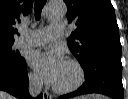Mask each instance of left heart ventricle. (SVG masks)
<instances>
[{"label":"left heart ventricle","instance_id":"left-heart-ventricle-1","mask_svg":"<svg viewBox=\"0 0 128 99\" xmlns=\"http://www.w3.org/2000/svg\"><path fill=\"white\" fill-rule=\"evenodd\" d=\"M77 76L78 74L76 69L66 62L63 70L61 71L54 84L60 87H68L77 80Z\"/></svg>","mask_w":128,"mask_h":99}]
</instances>
